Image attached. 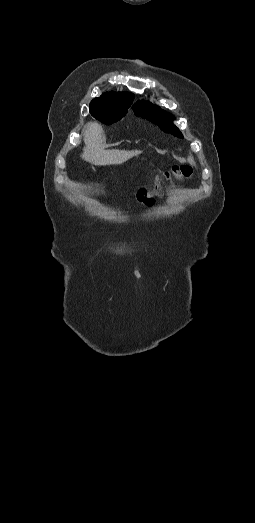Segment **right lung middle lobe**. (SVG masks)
Returning a JSON list of instances; mask_svg holds the SVG:
<instances>
[{
  "instance_id": "obj_1",
  "label": "right lung middle lobe",
  "mask_w": 255,
  "mask_h": 523,
  "mask_svg": "<svg viewBox=\"0 0 255 523\" xmlns=\"http://www.w3.org/2000/svg\"><path fill=\"white\" fill-rule=\"evenodd\" d=\"M130 102H119L110 104H99L90 106L91 115L100 122L109 125L120 120L131 106Z\"/></svg>"
}]
</instances>
